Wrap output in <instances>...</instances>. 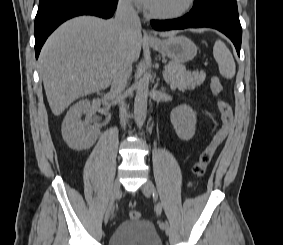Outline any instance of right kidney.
I'll return each mask as SVG.
<instances>
[{
  "instance_id": "right-kidney-1",
  "label": "right kidney",
  "mask_w": 283,
  "mask_h": 245,
  "mask_svg": "<svg viewBox=\"0 0 283 245\" xmlns=\"http://www.w3.org/2000/svg\"><path fill=\"white\" fill-rule=\"evenodd\" d=\"M82 114H86L83 121ZM92 114L93 106L88 99L80 100L67 112L62 123V137L72 149H88L96 142L100 130L90 123Z\"/></svg>"
}]
</instances>
